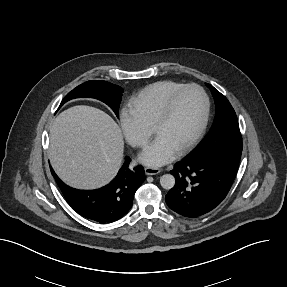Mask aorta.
I'll use <instances>...</instances> for the list:
<instances>
[{
    "label": "aorta",
    "instance_id": "1",
    "mask_svg": "<svg viewBox=\"0 0 287 287\" xmlns=\"http://www.w3.org/2000/svg\"><path fill=\"white\" fill-rule=\"evenodd\" d=\"M160 184L164 189H171L175 185V178L171 174H164L160 178Z\"/></svg>",
    "mask_w": 287,
    "mask_h": 287
}]
</instances>
